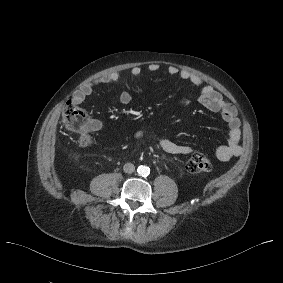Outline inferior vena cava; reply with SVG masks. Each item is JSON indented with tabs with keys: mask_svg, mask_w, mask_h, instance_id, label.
Returning a JSON list of instances; mask_svg holds the SVG:
<instances>
[{
	"mask_svg": "<svg viewBox=\"0 0 283 283\" xmlns=\"http://www.w3.org/2000/svg\"><path fill=\"white\" fill-rule=\"evenodd\" d=\"M123 170L126 172V173H133L135 171V166L132 164V163H126L124 166H123Z\"/></svg>",
	"mask_w": 283,
	"mask_h": 283,
	"instance_id": "inferior-vena-cava-1",
	"label": "inferior vena cava"
}]
</instances>
